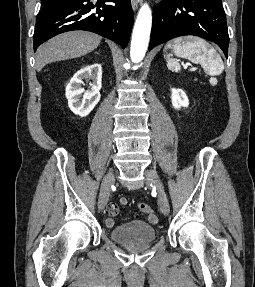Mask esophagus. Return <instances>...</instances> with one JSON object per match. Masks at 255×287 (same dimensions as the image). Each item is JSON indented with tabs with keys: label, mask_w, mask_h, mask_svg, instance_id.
I'll return each instance as SVG.
<instances>
[{
	"label": "esophagus",
	"mask_w": 255,
	"mask_h": 287,
	"mask_svg": "<svg viewBox=\"0 0 255 287\" xmlns=\"http://www.w3.org/2000/svg\"><path fill=\"white\" fill-rule=\"evenodd\" d=\"M140 1L141 0H131V5H132L133 10H137L138 4Z\"/></svg>",
	"instance_id": "1"
}]
</instances>
